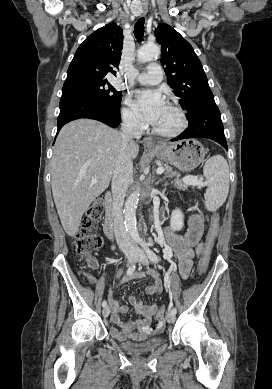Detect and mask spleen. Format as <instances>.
I'll use <instances>...</instances> for the list:
<instances>
[{"label":"spleen","mask_w":272,"mask_h":389,"mask_svg":"<svg viewBox=\"0 0 272 389\" xmlns=\"http://www.w3.org/2000/svg\"><path fill=\"white\" fill-rule=\"evenodd\" d=\"M207 179L205 206L208 211H216L225 202L229 193V167L222 155L209 158L203 168Z\"/></svg>","instance_id":"1"}]
</instances>
